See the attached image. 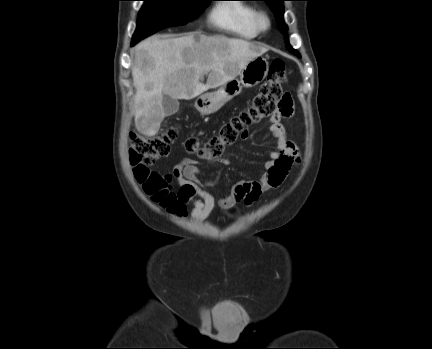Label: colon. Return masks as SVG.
I'll return each mask as SVG.
<instances>
[{"label":"colon","mask_w":432,"mask_h":349,"mask_svg":"<svg viewBox=\"0 0 432 349\" xmlns=\"http://www.w3.org/2000/svg\"><path fill=\"white\" fill-rule=\"evenodd\" d=\"M285 80L284 61L273 60L267 79L253 100L222 124L217 134L207 142L201 143L194 136L188 137L185 141L186 151L203 160L216 161L224 155L227 147L234 144L240 137L246 136L247 128L250 125L259 123L277 112L288 113L292 107V98L288 92L283 90ZM177 136L178 130L175 126L166 127L160 133L149 137L131 134L129 155L134 176L144 191L163 207L181 212L183 206L172 190L171 176L151 169L158 159L169 153Z\"/></svg>","instance_id":"obj_1"}]
</instances>
